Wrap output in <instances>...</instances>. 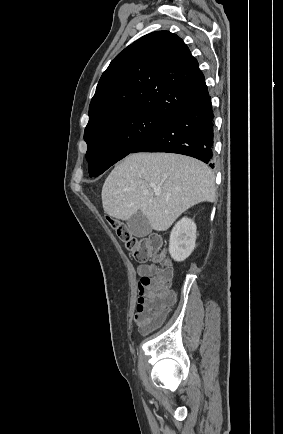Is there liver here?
Returning a JSON list of instances; mask_svg holds the SVG:
<instances>
[{
  "mask_svg": "<svg viewBox=\"0 0 283 434\" xmlns=\"http://www.w3.org/2000/svg\"><path fill=\"white\" fill-rule=\"evenodd\" d=\"M101 195L109 216L129 220L140 211L154 230L165 231L190 207L215 201V176L192 157L134 153L111 171Z\"/></svg>",
  "mask_w": 283,
  "mask_h": 434,
  "instance_id": "1",
  "label": "liver"
}]
</instances>
